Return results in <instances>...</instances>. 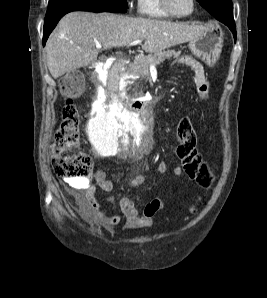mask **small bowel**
I'll use <instances>...</instances> for the list:
<instances>
[{
	"instance_id": "1",
	"label": "small bowel",
	"mask_w": 267,
	"mask_h": 298,
	"mask_svg": "<svg viewBox=\"0 0 267 298\" xmlns=\"http://www.w3.org/2000/svg\"><path fill=\"white\" fill-rule=\"evenodd\" d=\"M179 63L191 69L199 99L202 101L208 100L210 98V82L202 65L190 56L181 57ZM156 172L162 174L173 172L175 175H181L183 168L181 166L170 168L168 164L161 162L156 167ZM144 181V176H136L129 182V185L138 186ZM96 182L99 188L106 193L113 190L112 182L106 178V172L102 169L96 172ZM68 194L75 200L87 219L92 223L100 224L105 227H112L120 223V216L109 215L105 209L100 206L95 198L94 186L90 185L86 187L83 195L71 190L68 191ZM119 206L125 218V227L127 229H141L150 227L153 224L154 217L163 209L164 202L158 197L153 198L146 204L144 209L140 211L131 198L127 195H123L119 201Z\"/></svg>"
}]
</instances>
